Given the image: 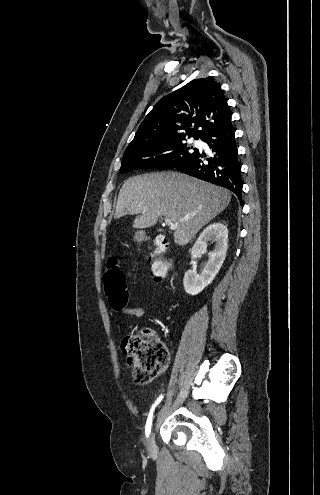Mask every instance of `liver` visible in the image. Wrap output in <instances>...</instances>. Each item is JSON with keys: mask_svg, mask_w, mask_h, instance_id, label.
I'll list each match as a JSON object with an SVG mask.
<instances>
[{"mask_svg": "<svg viewBox=\"0 0 320 495\" xmlns=\"http://www.w3.org/2000/svg\"><path fill=\"white\" fill-rule=\"evenodd\" d=\"M224 188L176 172L135 176L120 189L115 219L136 215L133 227L150 228L161 216L176 225L174 241L186 245L230 203Z\"/></svg>", "mask_w": 320, "mask_h": 495, "instance_id": "liver-1", "label": "liver"}]
</instances>
